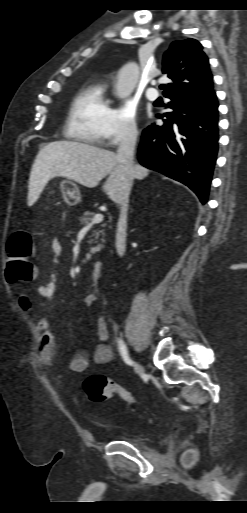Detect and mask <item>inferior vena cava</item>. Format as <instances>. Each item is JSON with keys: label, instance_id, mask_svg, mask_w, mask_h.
Segmentation results:
<instances>
[{"label": "inferior vena cava", "instance_id": "602c4592", "mask_svg": "<svg viewBox=\"0 0 247 513\" xmlns=\"http://www.w3.org/2000/svg\"><path fill=\"white\" fill-rule=\"evenodd\" d=\"M136 140L137 130L135 128H127L121 136L117 149V158L123 164L128 175H133L135 170L133 158ZM129 192L130 190L128 188H124V191L116 200V202L120 204V217L116 235V250L119 256L124 255L126 247L125 226L128 212Z\"/></svg>", "mask_w": 247, "mask_h": 513}]
</instances>
